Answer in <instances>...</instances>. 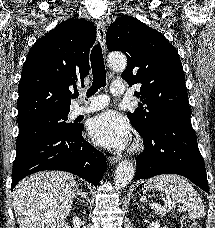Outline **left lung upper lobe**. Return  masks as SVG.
Returning <instances> with one entry per match:
<instances>
[{"label":"left lung upper lobe","mask_w":215,"mask_h":228,"mask_svg":"<svg viewBox=\"0 0 215 228\" xmlns=\"http://www.w3.org/2000/svg\"><path fill=\"white\" fill-rule=\"evenodd\" d=\"M109 51H121L127 68L121 77L130 85L141 84L135 92L143 105L127 116L144 136L160 120L190 117L183 67L177 50L163 34L132 16H121L106 34Z\"/></svg>","instance_id":"left-lung-upper-lobe-1"}]
</instances>
